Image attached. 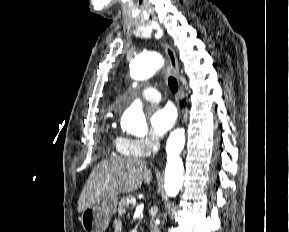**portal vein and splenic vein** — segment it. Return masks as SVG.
<instances>
[{
    "label": "portal vein and splenic vein",
    "instance_id": "obj_1",
    "mask_svg": "<svg viewBox=\"0 0 289 232\" xmlns=\"http://www.w3.org/2000/svg\"><path fill=\"white\" fill-rule=\"evenodd\" d=\"M131 204H132L133 206H135V205H136V201H135L134 199H132Z\"/></svg>",
    "mask_w": 289,
    "mask_h": 232
}]
</instances>
